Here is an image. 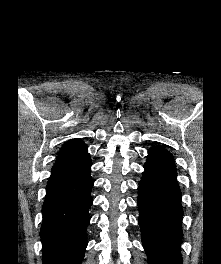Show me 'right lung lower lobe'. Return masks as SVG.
Here are the masks:
<instances>
[{
    "label": "right lung lower lobe",
    "instance_id": "right-lung-lower-lobe-1",
    "mask_svg": "<svg viewBox=\"0 0 221 264\" xmlns=\"http://www.w3.org/2000/svg\"><path fill=\"white\" fill-rule=\"evenodd\" d=\"M91 164L86 153L57 161L52 168L42 207L43 264H81L83 260L92 204Z\"/></svg>",
    "mask_w": 221,
    "mask_h": 264
}]
</instances>
